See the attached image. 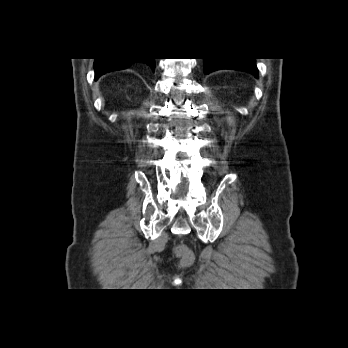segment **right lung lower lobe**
<instances>
[{
	"instance_id": "right-lung-lower-lobe-1",
	"label": "right lung lower lobe",
	"mask_w": 348,
	"mask_h": 348,
	"mask_svg": "<svg viewBox=\"0 0 348 348\" xmlns=\"http://www.w3.org/2000/svg\"><path fill=\"white\" fill-rule=\"evenodd\" d=\"M142 61L148 64L152 69L155 68L154 58H126V59H116V58H97L94 62L95 68V80H97L101 75L115 70H121L128 68L132 63Z\"/></svg>"
}]
</instances>
